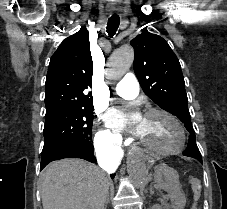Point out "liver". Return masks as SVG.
Listing matches in <instances>:
<instances>
[{
    "label": "liver",
    "mask_w": 227,
    "mask_h": 209,
    "mask_svg": "<svg viewBox=\"0 0 227 209\" xmlns=\"http://www.w3.org/2000/svg\"><path fill=\"white\" fill-rule=\"evenodd\" d=\"M43 209H103L106 173L82 159L50 163L40 177Z\"/></svg>",
    "instance_id": "1"
}]
</instances>
